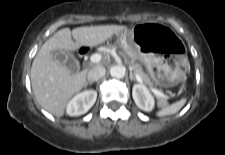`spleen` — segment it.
Instances as JSON below:
<instances>
[{
	"label": "spleen",
	"instance_id": "1",
	"mask_svg": "<svg viewBox=\"0 0 225 155\" xmlns=\"http://www.w3.org/2000/svg\"><path fill=\"white\" fill-rule=\"evenodd\" d=\"M186 103V99H181L178 102H175L169 106H163V108L156 113L158 117H163L167 115H172L177 113Z\"/></svg>",
	"mask_w": 225,
	"mask_h": 155
}]
</instances>
